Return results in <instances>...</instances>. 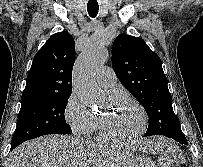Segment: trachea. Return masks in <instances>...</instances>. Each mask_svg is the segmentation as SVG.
Here are the masks:
<instances>
[{
	"mask_svg": "<svg viewBox=\"0 0 203 167\" xmlns=\"http://www.w3.org/2000/svg\"><path fill=\"white\" fill-rule=\"evenodd\" d=\"M99 6L98 3H88L87 11L90 17L94 18L98 14Z\"/></svg>",
	"mask_w": 203,
	"mask_h": 167,
	"instance_id": "3493384b",
	"label": "trachea"
}]
</instances>
